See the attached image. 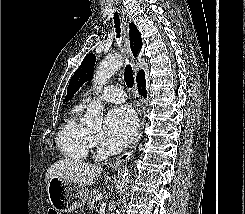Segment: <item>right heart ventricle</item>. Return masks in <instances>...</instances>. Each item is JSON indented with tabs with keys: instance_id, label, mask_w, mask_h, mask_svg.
Here are the masks:
<instances>
[{
	"instance_id": "e07e8e85",
	"label": "right heart ventricle",
	"mask_w": 245,
	"mask_h": 214,
	"mask_svg": "<svg viewBox=\"0 0 245 214\" xmlns=\"http://www.w3.org/2000/svg\"><path fill=\"white\" fill-rule=\"evenodd\" d=\"M84 106L79 103L72 108L56 137V145L62 156L74 162L85 161L90 147L89 133L80 122Z\"/></svg>"
}]
</instances>
